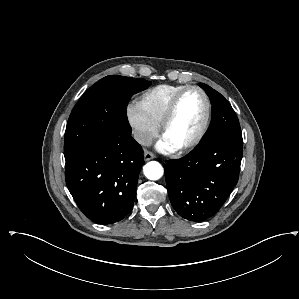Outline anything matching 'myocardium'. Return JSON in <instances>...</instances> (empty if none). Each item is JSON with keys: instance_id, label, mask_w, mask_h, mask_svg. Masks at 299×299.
<instances>
[{"instance_id": "myocardium-1", "label": "myocardium", "mask_w": 299, "mask_h": 299, "mask_svg": "<svg viewBox=\"0 0 299 299\" xmlns=\"http://www.w3.org/2000/svg\"><path fill=\"white\" fill-rule=\"evenodd\" d=\"M189 91H197L203 97L204 105H205L204 116H203L202 123H201L199 129L197 130V132L194 134V136L186 143H184L180 146H177L175 148V150H177L178 152H185V151L190 150L193 147H195L204 137V135L209 127V123H210L211 103H210V99H209L207 93L202 88H200L198 86H186L185 88L180 90L173 97L170 104L168 105V107L161 119V122L159 124L160 135L162 137L164 136V133H165L167 127L169 126L170 122L172 121V119L178 109V105H179L181 98Z\"/></svg>"}]
</instances>
